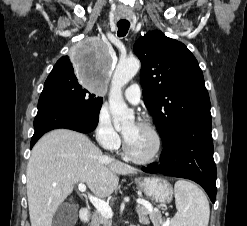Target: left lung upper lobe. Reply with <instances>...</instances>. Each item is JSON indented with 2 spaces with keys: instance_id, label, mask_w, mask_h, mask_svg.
Here are the masks:
<instances>
[{
  "instance_id": "5c2ea615",
  "label": "left lung upper lobe",
  "mask_w": 247,
  "mask_h": 226,
  "mask_svg": "<svg viewBox=\"0 0 247 226\" xmlns=\"http://www.w3.org/2000/svg\"><path fill=\"white\" fill-rule=\"evenodd\" d=\"M141 61V85L146 106L163 144L187 124L211 118L204 77L187 47L161 31H150L134 44Z\"/></svg>"
}]
</instances>
